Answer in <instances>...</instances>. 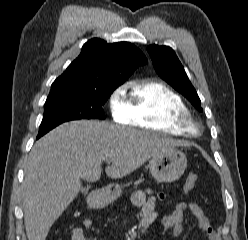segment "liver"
I'll use <instances>...</instances> for the list:
<instances>
[{"label":"liver","mask_w":248,"mask_h":240,"mask_svg":"<svg viewBox=\"0 0 248 240\" xmlns=\"http://www.w3.org/2000/svg\"><path fill=\"white\" fill-rule=\"evenodd\" d=\"M181 141L163 135L95 120L64 123L32 148L22 187L24 224L28 240H45L53 223L81 190V180L96 182L102 161L108 177L122 178L158 153Z\"/></svg>","instance_id":"1"}]
</instances>
